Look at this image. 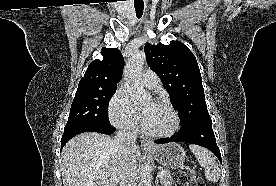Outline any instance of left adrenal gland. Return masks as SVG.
Returning <instances> with one entry per match:
<instances>
[{
  "instance_id": "obj_1",
  "label": "left adrenal gland",
  "mask_w": 276,
  "mask_h": 186,
  "mask_svg": "<svg viewBox=\"0 0 276 186\" xmlns=\"http://www.w3.org/2000/svg\"><path fill=\"white\" fill-rule=\"evenodd\" d=\"M156 185L159 186V185H158V179H157V181H156Z\"/></svg>"
}]
</instances>
